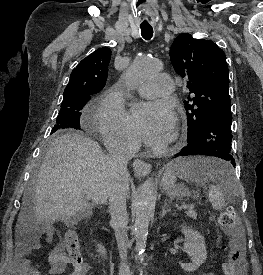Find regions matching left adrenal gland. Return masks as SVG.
<instances>
[{
    "label": "left adrenal gland",
    "instance_id": "left-adrenal-gland-1",
    "mask_svg": "<svg viewBox=\"0 0 263 275\" xmlns=\"http://www.w3.org/2000/svg\"><path fill=\"white\" fill-rule=\"evenodd\" d=\"M168 206L167 202L164 203V206L162 207V213H161V218H163L167 212L170 211V209H166V207Z\"/></svg>",
    "mask_w": 263,
    "mask_h": 275
}]
</instances>
